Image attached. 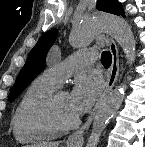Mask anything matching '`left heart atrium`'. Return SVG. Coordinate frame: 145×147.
I'll return each mask as SVG.
<instances>
[{"label":"left heart atrium","instance_id":"1","mask_svg":"<svg viewBox=\"0 0 145 147\" xmlns=\"http://www.w3.org/2000/svg\"><path fill=\"white\" fill-rule=\"evenodd\" d=\"M101 90L99 80L87 76H79L70 94L71 109L77 117L85 113L93 104Z\"/></svg>","mask_w":145,"mask_h":147}]
</instances>
